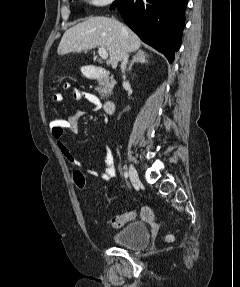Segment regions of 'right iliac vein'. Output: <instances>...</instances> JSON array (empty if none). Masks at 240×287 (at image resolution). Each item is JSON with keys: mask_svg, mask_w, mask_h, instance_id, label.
<instances>
[{"mask_svg": "<svg viewBox=\"0 0 240 287\" xmlns=\"http://www.w3.org/2000/svg\"><path fill=\"white\" fill-rule=\"evenodd\" d=\"M129 177H130L131 182L134 185H137V184L140 183V179H139L138 173H137V171H136V169L134 168L133 165H130V167H129Z\"/></svg>", "mask_w": 240, "mask_h": 287, "instance_id": "right-iliac-vein-1", "label": "right iliac vein"}]
</instances>
